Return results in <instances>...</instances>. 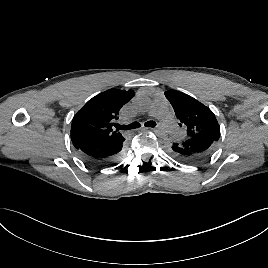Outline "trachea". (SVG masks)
Segmentation results:
<instances>
[{
  "instance_id": "1",
  "label": "trachea",
  "mask_w": 268,
  "mask_h": 268,
  "mask_svg": "<svg viewBox=\"0 0 268 268\" xmlns=\"http://www.w3.org/2000/svg\"><path fill=\"white\" fill-rule=\"evenodd\" d=\"M145 126L147 127H155L156 126V123L154 121H148L144 124ZM141 125L140 123L138 122H133L129 125H115V127L120 130V129H123V130H128V129H135V128H139Z\"/></svg>"
}]
</instances>
